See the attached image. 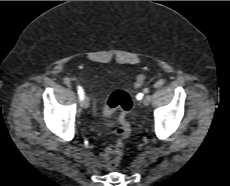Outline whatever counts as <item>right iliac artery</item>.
I'll return each mask as SVG.
<instances>
[{
    "label": "right iliac artery",
    "mask_w": 230,
    "mask_h": 186,
    "mask_svg": "<svg viewBox=\"0 0 230 186\" xmlns=\"http://www.w3.org/2000/svg\"><path fill=\"white\" fill-rule=\"evenodd\" d=\"M78 89V94H79V98L82 101L83 97H84V91L83 88L81 86H77Z\"/></svg>",
    "instance_id": "right-iliac-artery-1"
}]
</instances>
